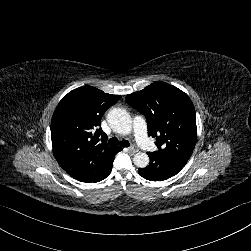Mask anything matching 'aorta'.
I'll return each mask as SVG.
<instances>
[{
  "label": "aorta",
  "mask_w": 251,
  "mask_h": 251,
  "mask_svg": "<svg viewBox=\"0 0 251 251\" xmlns=\"http://www.w3.org/2000/svg\"><path fill=\"white\" fill-rule=\"evenodd\" d=\"M107 121L111 129L120 135H129L133 132V121L130 115L122 109H113L109 112ZM134 164L144 168L149 164V156L144 152H137L133 157Z\"/></svg>",
  "instance_id": "1"
}]
</instances>
